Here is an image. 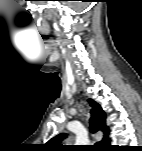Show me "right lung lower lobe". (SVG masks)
Returning a JSON list of instances; mask_svg holds the SVG:
<instances>
[{"instance_id": "1", "label": "right lung lower lobe", "mask_w": 142, "mask_h": 151, "mask_svg": "<svg viewBox=\"0 0 142 151\" xmlns=\"http://www.w3.org/2000/svg\"><path fill=\"white\" fill-rule=\"evenodd\" d=\"M108 144H109V143H108ZM108 144H107L105 147H109V145H108Z\"/></svg>"}]
</instances>
